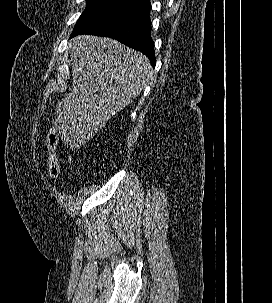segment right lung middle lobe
<instances>
[{"mask_svg":"<svg viewBox=\"0 0 272 303\" xmlns=\"http://www.w3.org/2000/svg\"><path fill=\"white\" fill-rule=\"evenodd\" d=\"M87 6L77 21L72 34L89 31L104 23L122 19L141 9L134 4L116 0H86Z\"/></svg>","mask_w":272,"mask_h":303,"instance_id":"dd1d6c3e","label":"right lung middle lobe"}]
</instances>
